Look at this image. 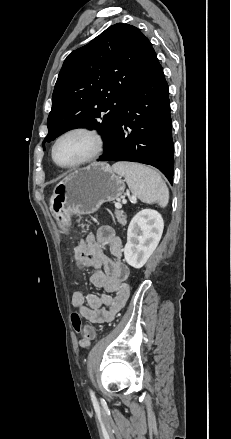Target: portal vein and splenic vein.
I'll use <instances>...</instances> for the list:
<instances>
[{
	"label": "portal vein and splenic vein",
	"instance_id": "1",
	"mask_svg": "<svg viewBox=\"0 0 231 439\" xmlns=\"http://www.w3.org/2000/svg\"><path fill=\"white\" fill-rule=\"evenodd\" d=\"M115 207L118 208V209H120L122 206H121V204L116 203V204H115Z\"/></svg>",
	"mask_w": 231,
	"mask_h": 439
}]
</instances>
